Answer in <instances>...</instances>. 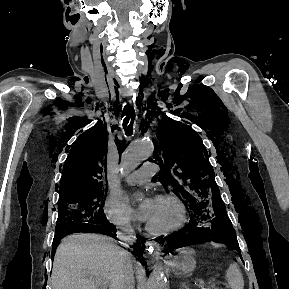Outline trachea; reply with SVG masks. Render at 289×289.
Listing matches in <instances>:
<instances>
[{
    "label": "trachea",
    "instance_id": "obj_1",
    "mask_svg": "<svg viewBox=\"0 0 289 289\" xmlns=\"http://www.w3.org/2000/svg\"><path fill=\"white\" fill-rule=\"evenodd\" d=\"M125 118L123 120V128L127 136H130L133 131V122L135 119V111L132 107L127 106L125 109ZM123 115V116H124Z\"/></svg>",
    "mask_w": 289,
    "mask_h": 289
}]
</instances>
